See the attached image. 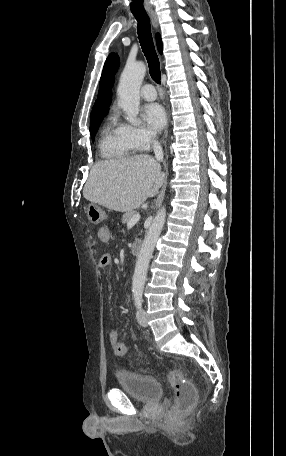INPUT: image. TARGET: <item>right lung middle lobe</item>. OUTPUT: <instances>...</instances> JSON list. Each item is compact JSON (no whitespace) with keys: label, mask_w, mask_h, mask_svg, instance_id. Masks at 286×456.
I'll return each instance as SVG.
<instances>
[{"label":"right lung middle lobe","mask_w":286,"mask_h":456,"mask_svg":"<svg viewBox=\"0 0 286 456\" xmlns=\"http://www.w3.org/2000/svg\"><path fill=\"white\" fill-rule=\"evenodd\" d=\"M104 116L105 115L90 121V134H91L92 141H94V139H95V133H96L100 123L102 122Z\"/></svg>","instance_id":"dd1d6c3e"}]
</instances>
